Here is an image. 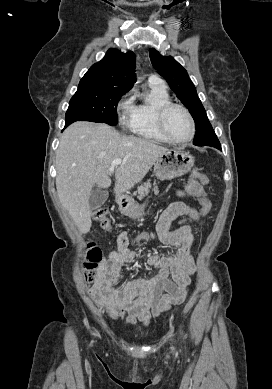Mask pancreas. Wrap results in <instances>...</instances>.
I'll use <instances>...</instances> for the list:
<instances>
[{
    "label": "pancreas",
    "instance_id": "pancreas-1",
    "mask_svg": "<svg viewBox=\"0 0 272 389\" xmlns=\"http://www.w3.org/2000/svg\"><path fill=\"white\" fill-rule=\"evenodd\" d=\"M151 183L150 182H147V183H144L143 185L139 186L138 187V198L139 199H142L144 196H146L149 192H150V188H151ZM154 186V190H157V185L156 183L153 184Z\"/></svg>",
    "mask_w": 272,
    "mask_h": 389
}]
</instances>
